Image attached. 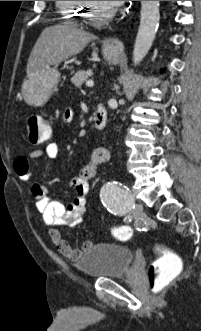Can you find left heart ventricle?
Here are the masks:
<instances>
[{
    "mask_svg": "<svg viewBox=\"0 0 201 331\" xmlns=\"http://www.w3.org/2000/svg\"><path fill=\"white\" fill-rule=\"evenodd\" d=\"M112 7L103 1H93V8L91 9L92 16L99 17L104 13L110 11Z\"/></svg>",
    "mask_w": 201,
    "mask_h": 331,
    "instance_id": "obj_1",
    "label": "left heart ventricle"
}]
</instances>
